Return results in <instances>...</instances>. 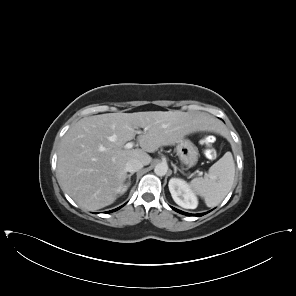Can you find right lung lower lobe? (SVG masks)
<instances>
[{"instance_id": "right-lung-lower-lobe-1", "label": "right lung lower lobe", "mask_w": 296, "mask_h": 296, "mask_svg": "<svg viewBox=\"0 0 296 296\" xmlns=\"http://www.w3.org/2000/svg\"><path fill=\"white\" fill-rule=\"evenodd\" d=\"M120 208V207H119ZM119 208H117V209H115V210H112V211H109V212H113V211H116V210H118Z\"/></svg>"}]
</instances>
